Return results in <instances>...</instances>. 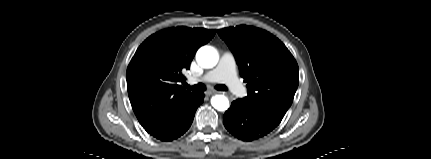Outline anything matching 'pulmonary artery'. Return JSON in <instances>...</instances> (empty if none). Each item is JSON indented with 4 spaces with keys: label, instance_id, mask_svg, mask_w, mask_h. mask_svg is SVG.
<instances>
[{
    "label": "pulmonary artery",
    "instance_id": "pulmonary-artery-1",
    "mask_svg": "<svg viewBox=\"0 0 431 159\" xmlns=\"http://www.w3.org/2000/svg\"><path fill=\"white\" fill-rule=\"evenodd\" d=\"M192 83L196 82H221L236 96L242 97L246 94V89L239 81L236 74V61L232 53L224 52L220 57L218 65L205 73L200 78H192Z\"/></svg>",
    "mask_w": 431,
    "mask_h": 159
}]
</instances>
